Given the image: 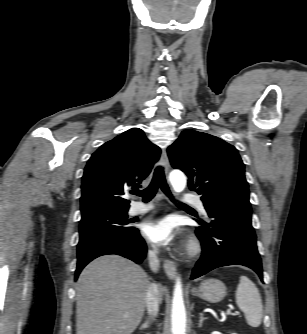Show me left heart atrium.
Returning a JSON list of instances; mask_svg holds the SVG:
<instances>
[{
	"label": "left heart atrium",
	"instance_id": "obj_1",
	"mask_svg": "<svg viewBox=\"0 0 307 334\" xmlns=\"http://www.w3.org/2000/svg\"><path fill=\"white\" fill-rule=\"evenodd\" d=\"M143 234L155 245H167L174 239L175 225L168 217L151 220L144 225Z\"/></svg>",
	"mask_w": 307,
	"mask_h": 334
}]
</instances>
